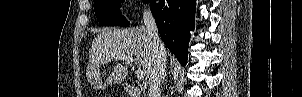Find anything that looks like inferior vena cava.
<instances>
[{"label":"inferior vena cava","mask_w":302,"mask_h":97,"mask_svg":"<svg viewBox=\"0 0 302 97\" xmlns=\"http://www.w3.org/2000/svg\"><path fill=\"white\" fill-rule=\"evenodd\" d=\"M143 20L147 35L150 38L152 50V64L149 71L148 97H160L161 84L163 82L166 69V49L161 42L155 19L150 10H144Z\"/></svg>","instance_id":"1"}]
</instances>
